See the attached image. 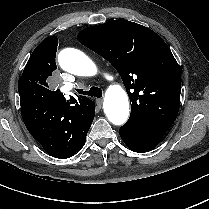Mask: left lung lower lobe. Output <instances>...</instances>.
<instances>
[{
    "label": "left lung lower lobe",
    "instance_id": "0a47b994",
    "mask_svg": "<svg viewBox=\"0 0 209 209\" xmlns=\"http://www.w3.org/2000/svg\"><path fill=\"white\" fill-rule=\"evenodd\" d=\"M120 136L124 143L135 152H148L155 148L162 137L150 134L142 127L134 123H127L119 129Z\"/></svg>",
    "mask_w": 209,
    "mask_h": 209
}]
</instances>
